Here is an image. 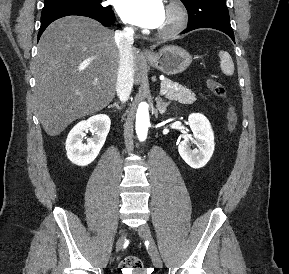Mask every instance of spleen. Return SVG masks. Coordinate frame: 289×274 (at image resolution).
I'll return each instance as SVG.
<instances>
[{"label":"spleen","instance_id":"1","mask_svg":"<svg viewBox=\"0 0 289 274\" xmlns=\"http://www.w3.org/2000/svg\"><path fill=\"white\" fill-rule=\"evenodd\" d=\"M220 67L225 75L231 76L234 73V63L229 53L220 51Z\"/></svg>","mask_w":289,"mask_h":274}]
</instances>
